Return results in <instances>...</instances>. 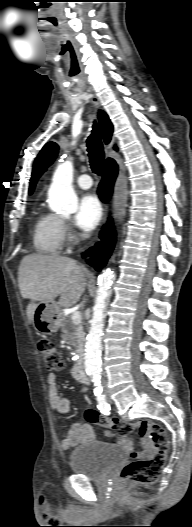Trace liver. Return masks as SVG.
<instances>
[{"label":"liver","mask_w":192,"mask_h":527,"mask_svg":"<svg viewBox=\"0 0 192 527\" xmlns=\"http://www.w3.org/2000/svg\"><path fill=\"white\" fill-rule=\"evenodd\" d=\"M85 273L84 267L65 256H24L18 269V285L21 296L31 300L26 309L28 322L34 321L37 301L54 300L60 295V306H74L85 292Z\"/></svg>","instance_id":"6515ba94"}]
</instances>
